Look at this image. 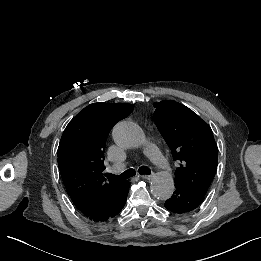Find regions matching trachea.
Segmentation results:
<instances>
[{
	"instance_id": "1",
	"label": "trachea",
	"mask_w": 261,
	"mask_h": 261,
	"mask_svg": "<svg viewBox=\"0 0 261 261\" xmlns=\"http://www.w3.org/2000/svg\"><path fill=\"white\" fill-rule=\"evenodd\" d=\"M138 172L141 174V175H150L151 174V170L146 167V166H141L138 170ZM136 174V171L134 169H128L126 170L125 172H123L122 174L120 175H112L110 173H106V176L109 178V179H114V180H118V181H122V180H126L128 178H131L133 177L134 175Z\"/></svg>"
}]
</instances>
